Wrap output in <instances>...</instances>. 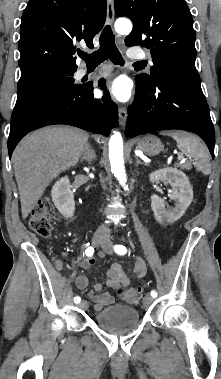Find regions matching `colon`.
I'll return each mask as SVG.
<instances>
[{
  "instance_id": "5ec220e1",
  "label": "colon",
  "mask_w": 221,
  "mask_h": 379,
  "mask_svg": "<svg viewBox=\"0 0 221 379\" xmlns=\"http://www.w3.org/2000/svg\"><path fill=\"white\" fill-rule=\"evenodd\" d=\"M54 213L53 205L47 200L38 201L29 216L30 228L40 236H49L53 229L51 219ZM121 297L129 303H139L143 294L138 288H130L120 292Z\"/></svg>"
}]
</instances>
